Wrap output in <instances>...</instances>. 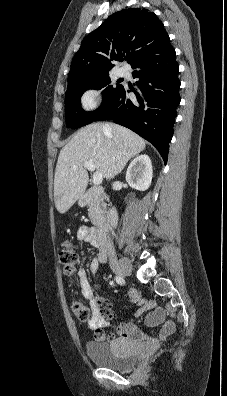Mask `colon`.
<instances>
[{"instance_id":"colon-1","label":"colon","mask_w":227,"mask_h":396,"mask_svg":"<svg viewBox=\"0 0 227 396\" xmlns=\"http://www.w3.org/2000/svg\"><path fill=\"white\" fill-rule=\"evenodd\" d=\"M60 262L64 267V273L71 277L75 272V266L78 262V254L72 243L66 242L64 244V247L60 252ZM72 310L80 321L86 322L91 317L90 308L83 302L74 301L72 303Z\"/></svg>"}]
</instances>
